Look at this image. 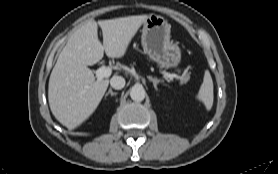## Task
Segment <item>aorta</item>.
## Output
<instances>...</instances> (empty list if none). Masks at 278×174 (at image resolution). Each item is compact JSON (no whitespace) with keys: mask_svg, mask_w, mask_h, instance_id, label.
Returning a JSON list of instances; mask_svg holds the SVG:
<instances>
[{"mask_svg":"<svg viewBox=\"0 0 278 174\" xmlns=\"http://www.w3.org/2000/svg\"><path fill=\"white\" fill-rule=\"evenodd\" d=\"M146 96L145 89L141 85H134L130 89V97L132 100L140 102L144 100Z\"/></svg>","mask_w":278,"mask_h":174,"instance_id":"762f6f07","label":"aorta"}]
</instances>
